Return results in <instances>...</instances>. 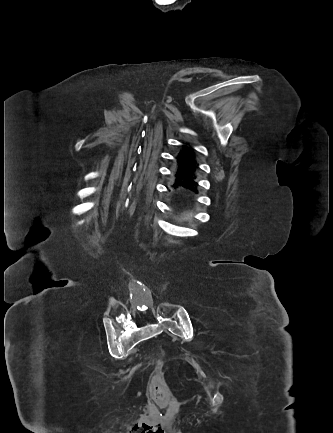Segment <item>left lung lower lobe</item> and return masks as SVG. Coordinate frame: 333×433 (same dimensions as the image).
Wrapping results in <instances>:
<instances>
[{
  "mask_svg": "<svg viewBox=\"0 0 333 433\" xmlns=\"http://www.w3.org/2000/svg\"><path fill=\"white\" fill-rule=\"evenodd\" d=\"M188 145V146H187ZM177 170L175 171V180L180 185L188 187L193 186V179L196 178V160L195 153L189 144L183 145L177 157Z\"/></svg>",
  "mask_w": 333,
  "mask_h": 433,
  "instance_id": "0a47b994",
  "label": "left lung lower lobe"
}]
</instances>
